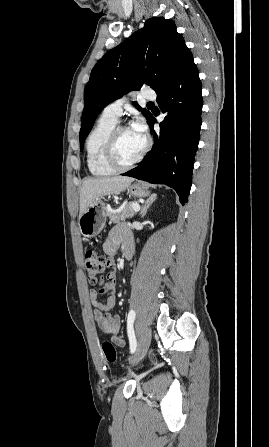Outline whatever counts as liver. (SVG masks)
<instances>
[{"instance_id":"liver-1","label":"liver","mask_w":269,"mask_h":447,"mask_svg":"<svg viewBox=\"0 0 269 447\" xmlns=\"http://www.w3.org/2000/svg\"><path fill=\"white\" fill-rule=\"evenodd\" d=\"M132 182H134V178H123V176H115V178H87L80 190L79 218L96 198L107 196V194H117V192L129 188Z\"/></svg>"}]
</instances>
